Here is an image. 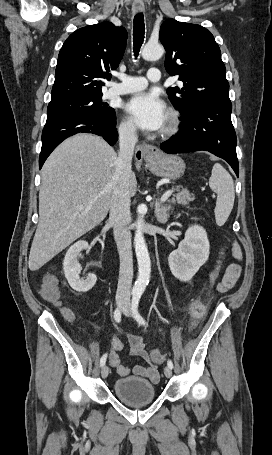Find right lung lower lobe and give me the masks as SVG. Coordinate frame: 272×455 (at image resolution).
I'll return each instance as SVG.
<instances>
[{
    "label": "right lung lower lobe",
    "mask_w": 272,
    "mask_h": 455,
    "mask_svg": "<svg viewBox=\"0 0 272 455\" xmlns=\"http://www.w3.org/2000/svg\"><path fill=\"white\" fill-rule=\"evenodd\" d=\"M115 126L116 116L106 119L96 115L71 114L47 120L42 132L39 168L63 140L77 133L99 135L113 146L118 140Z\"/></svg>",
    "instance_id": "1"
}]
</instances>
